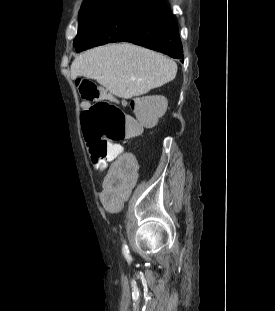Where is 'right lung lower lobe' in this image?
Segmentation results:
<instances>
[{
  "mask_svg": "<svg viewBox=\"0 0 275 311\" xmlns=\"http://www.w3.org/2000/svg\"><path fill=\"white\" fill-rule=\"evenodd\" d=\"M120 41L162 52L181 62L184 59L178 24L166 4L135 23Z\"/></svg>",
  "mask_w": 275,
  "mask_h": 311,
  "instance_id": "1",
  "label": "right lung lower lobe"
}]
</instances>
